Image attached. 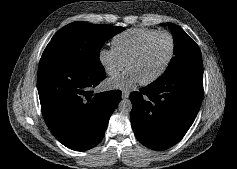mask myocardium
<instances>
[{"label": "myocardium", "mask_w": 237, "mask_h": 169, "mask_svg": "<svg viewBox=\"0 0 237 169\" xmlns=\"http://www.w3.org/2000/svg\"><path fill=\"white\" fill-rule=\"evenodd\" d=\"M159 35H167L170 39L171 42V48H170V53L169 56L165 62V64L163 65V67L154 75H152L151 77L145 79V80H141L139 81V83L141 85H148L151 84L153 82H155L156 80H158L160 77H162L164 75V73L167 71V69L169 68L174 54H175V40L174 37L172 36V34L168 31H158L156 33H154L153 35L149 36L148 38H146L142 44L138 47V49L128 58V60L126 61V68L129 69V66L131 64V62L133 60H135L136 58H138L142 52L144 51V49L146 48V46L157 36Z\"/></svg>", "instance_id": "f54148a6"}]
</instances>
